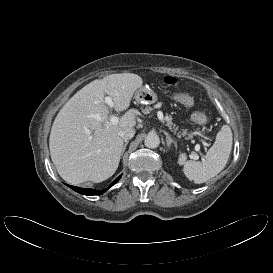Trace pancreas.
<instances>
[{
	"label": "pancreas",
	"instance_id": "1",
	"mask_svg": "<svg viewBox=\"0 0 273 273\" xmlns=\"http://www.w3.org/2000/svg\"><path fill=\"white\" fill-rule=\"evenodd\" d=\"M153 110V108H151V107H146L145 109H143L142 110V112L144 113V114H149L151 111ZM165 121H166V125L169 127V129L171 130V131H174L175 133L177 132V130H178V127L175 125V124H173V122H172V117L171 116H165ZM179 134V133H178ZM188 133H187V130H183V132H182V135H187ZM191 137V135L189 134L188 135V138H190Z\"/></svg>",
	"mask_w": 273,
	"mask_h": 273
}]
</instances>
